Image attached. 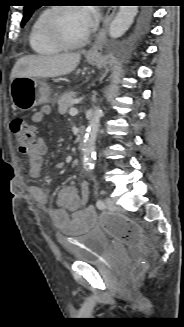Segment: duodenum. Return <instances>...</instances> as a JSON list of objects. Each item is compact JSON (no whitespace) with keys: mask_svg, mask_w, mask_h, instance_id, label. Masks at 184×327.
I'll return each instance as SVG.
<instances>
[{"mask_svg":"<svg viewBox=\"0 0 184 327\" xmlns=\"http://www.w3.org/2000/svg\"><path fill=\"white\" fill-rule=\"evenodd\" d=\"M85 142H86L85 134H84V131L81 129L80 130V138H79V149L80 150H83V148L85 146Z\"/></svg>","mask_w":184,"mask_h":327,"instance_id":"obj_1","label":"duodenum"}]
</instances>
